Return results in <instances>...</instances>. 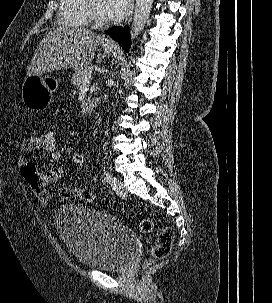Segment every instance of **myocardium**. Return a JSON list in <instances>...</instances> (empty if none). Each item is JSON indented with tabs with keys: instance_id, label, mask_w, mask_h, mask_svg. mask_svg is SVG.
Here are the masks:
<instances>
[{
	"instance_id": "obj_1",
	"label": "myocardium",
	"mask_w": 272,
	"mask_h": 303,
	"mask_svg": "<svg viewBox=\"0 0 272 303\" xmlns=\"http://www.w3.org/2000/svg\"><path fill=\"white\" fill-rule=\"evenodd\" d=\"M85 11L88 18L89 23L97 27H104L107 25L105 19H102L96 12L93 6V0H86L85 3Z\"/></svg>"
}]
</instances>
